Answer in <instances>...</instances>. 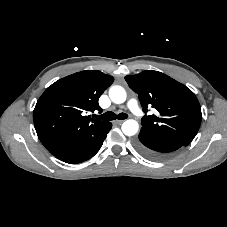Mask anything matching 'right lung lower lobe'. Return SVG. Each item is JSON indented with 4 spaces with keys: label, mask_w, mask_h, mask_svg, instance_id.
<instances>
[{
    "label": "right lung lower lobe",
    "mask_w": 227,
    "mask_h": 227,
    "mask_svg": "<svg viewBox=\"0 0 227 227\" xmlns=\"http://www.w3.org/2000/svg\"><path fill=\"white\" fill-rule=\"evenodd\" d=\"M111 127L112 124L109 122L108 125L102 129V131L93 136L84 138L78 146L66 149L54 156L59 160L70 164H76L90 159L102 146L103 141Z\"/></svg>",
    "instance_id": "right-lung-lower-lobe-1"
}]
</instances>
